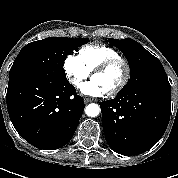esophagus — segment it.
Instances as JSON below:
<instances>
[{
    "mask_svg": "<svg viewBox=\"0 0 178 178\" xmlns=\"http://www.w3.org/2000/svg\"><path fill=\"white\" fill-rule=\"evenodd\" d=\"M92 101H93V99H91V98H84L85 103H89V102H92Z\"/></svg>",
    "mask_w": 178,
    "mask_h": 178,
    "instance_id": "obj_1",
    "label": "esophagus"
}]
</instances>
